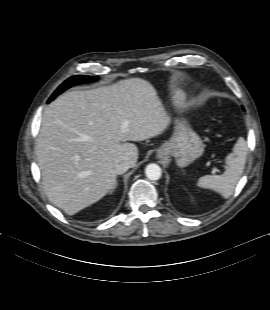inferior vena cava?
<instances>
[{
	"label": "inferior vena cava",
	"mask_w": 270,
	"mask_h": 310,
	"mask_svg": "<svg viewBox=\"0 0 270 310\" xmlns=\"http://www.w3.org/2000/svg\"><path fill=\"white\" fill-rule=\"evenodd\" d=\"M131 167L130 162L127 160L126 157L121 158L116 162L114 165V171L116 174L120 175L125 173Z\"/></svg>",
	"instance_id": "602c4592"
}]
</instances>
